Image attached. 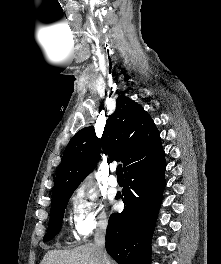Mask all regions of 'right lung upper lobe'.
Wrapping results in <instances>:
<instances>
[{
	"label": "right lung upper lobe",
	"instance_id": "right-lung-upper-lobe-1",
	"mask_svg": "<svg viewBox=\"0 0 221 264\" xmlns=\"http://www.w3.org/2000/svg\"><path fill=\"white\" fill-rule=\"evenodd\" d=\"M101 147L110 160L122 161L124 172L151 162L163 152L151 117L133 100L119 96L101 140L94 127L89 126L78 131L68 143L56 174L52 200L74 192L96 166Z\"/></svg>",
	"mask_w": 221,
	"mask_h": 264
}]
</instances>
